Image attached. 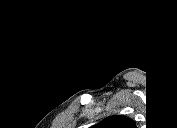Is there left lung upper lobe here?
<instances>
[{
    "label": "left lung upper lobe",
    "mask_w": 177,
    "mask_h": 128,
    "mask_svg": "<svg viewBox=\"0 0 177 128\" xmlns=\"http://www.w3.org/2000/svg\"><path fill=\"white\" fill-rule=\"evenodd\" d=\"M98 125L101 128H135L133 120L122 115H114L105 118Z\"/></svg>",
    "instance_id": "left-lung-upper-lobe-1"
}]
</instances>
